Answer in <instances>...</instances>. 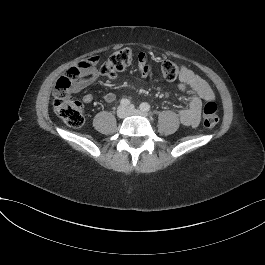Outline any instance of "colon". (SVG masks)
<instances>
[{
  "instance_id": "obj_1",
  "label": "colon",
  "mask_w": 265,
  "mask_h": 265,
  "mask_svg": "<svg viewBox=\"0 0 265 265\" xmlns=\"http://www.w3.org/2000/svg\"><path fill=\"white\" fill-rule=\"evenodd\" d=\"M133 60V53L128 48H123L112 53L101 65V73L108 77H114L125 70ZM98 62L97 57H91L78 62L59 78L55 87L54 110L59 118L71 127L78 128L84 124V106L72 97L71 88L75 82L87 70L93 68ZM182 68L170 61L161 65L162 76L168 80H175ZM218 123L217 104L209 100L203 108V124L207 128H213Z\"/></svg>"
}]
</instances>
